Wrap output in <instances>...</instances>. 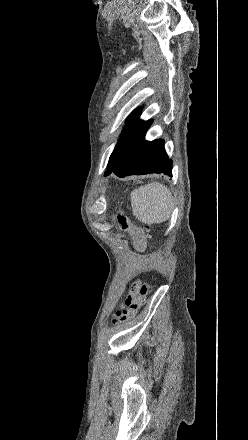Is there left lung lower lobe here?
Instances as JSON below:
<instances>
[{
	"instance_id": "left-lung-lower-lobe-1",
	"label": "left lung lower lobe",
	"mask_w": 248,
	"mask_h": 440,
	"mask_svg": "<svg viewBox=\"0 0 248 440\" xmlns=\"http://www.w3.org/2000/svg\"><path fill=\"white\" fill-rule=\"evenodd\" d=\"M118 177L164 173L172 177V161L168 159L162 139L138 143L112 171Z\"/></svg>"
}]
</instances>
